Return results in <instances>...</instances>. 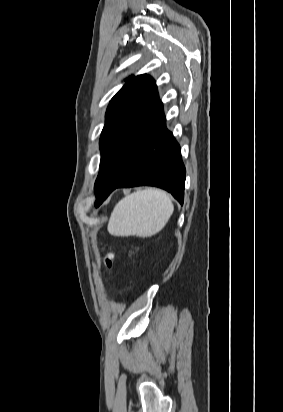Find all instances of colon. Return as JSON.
Listing matches in <instances>:
<instances>
[{
    "label": "colon",
    "instance_id": "obj_1",
    "mask_svg": "<svg viewBox=\"0 0 283 412\" xmlns=\"http://www.w3.org/2000/svg\"><path fill=\"white\" fill-rule=\"evenodd\" d=\"M113 262H114V255L111 251L105 249L103 252V256H102V263L105 269V272L108 273L112 266H113Z\"/></svg>",
    "mask_w": 283,
    "mask_h": 412
}]
</instances>
